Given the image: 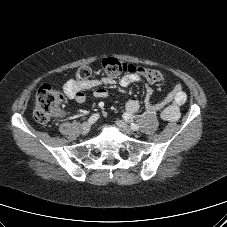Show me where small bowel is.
<instances>
[{"instance_id": "1", "label": "small bowel", "mask_w": 227, "mask_h": 227, "mask_svg": "<svg viewBox=\"0 0 227 227\" xmlns=\"http://www.w3.org/2000/svg\"><path fill=\"white\" fill-rule=\"evenodd\" d=\"M141 80L137 73L124 75L119 84L122 87H128ZM114 80L108 77L102 79H86L77 81L74 79L68 80L63 89L70 99L76 100L83 104L87 100L85 90H94V96L99 99H105L109 96L105 85L113 84ZM187 95L182 90L180 85H176L164 98L156 100L154 98V90L149 85L145 88V104L151 111H161V116L166 121L175 122L180 118V107L186 102ZM125 115L132 118L139 111L140 102L136 99L128 100L125 105Z\"/></svg>"}]
</instances>
